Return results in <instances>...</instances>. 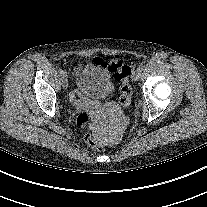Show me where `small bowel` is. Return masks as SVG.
I'll return each mask as SVG.
<instances>
[{
  "instance_id": "c3829d8e",
  "label": "small bowel",
  "mask_w": 207,
  "mask_h": 207,
  "mask_svg": "<svg viewBox=\"0 0 207 207\" xmlns=\"http://www.w3.org/2000/svg\"><path fill=\"white\" fill-rule=\"evenodd\" d=\"M71 101L77 110H90L96 112L101 107V104L97 101H88L82 98L78 93L73 92L71 94Z\"/></svg>"
}]
</instances>
